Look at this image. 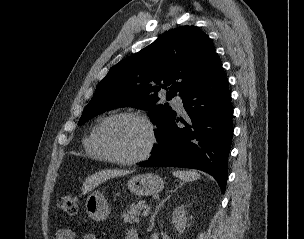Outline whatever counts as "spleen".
I'll return each instance as SVG.
<instances>
[{"label": "spleen", "mask_w": 304, "mask_h": 239, "mask_svg": "<svg viewBox=\"0 0 304 239\" xmlns=\"http://www.w3.org/2000/svg\"><path fill=\"white\" fill-rule=\"evenodd\" d=\"M174 174L185 182L194 181L200 177L197 172L190 170H178L175 171Z\"/></svg>", "instance_id": "obj_1"}]
</instances>
